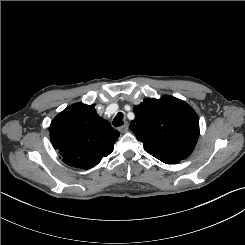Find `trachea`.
I'll return each instance as SVG.
<instances>
[{"mask_svg": "<svg viewBox=\"0 0 245 245\" xmlns=\"http://www.w3.org/2000/svg\"><path fill=\"white\" fill-rule=\"evenodd\" d=\"M123 117H124V115L122 112L117 113V115L115 116V118L113 120V125L115 127L122 126L124 124Z\"/></svg>", "mask_w": 245, "mask_h": 245, "instance_id": "obj_1", "label": "trachea"}]
</instances>
